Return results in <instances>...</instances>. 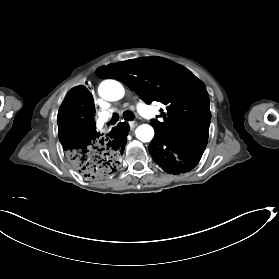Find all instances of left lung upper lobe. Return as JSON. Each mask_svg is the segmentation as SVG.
Returning a JSON list of instances; mask_svg holds the SVG:
<instances>
[{"mask_svg":"<svg viewBox=\"0 0 279 279\" xmlns=\"http://www.w3.org/2000/svg\"><path fill=\"white\" fill-rule=\"evenodd\" d=\"M96 75L123 82L147 104L163 103L162 119L150 123L156 131L207 140L211 119L208 94L183 66L162 57H141L100 67Z\"/></svg>","mask_w":279,"mask_h":279,"instance_id":"1","label":"left lung upper lobe"}]
</instances>
